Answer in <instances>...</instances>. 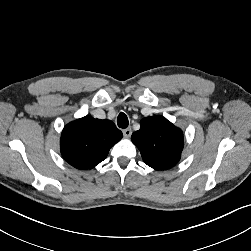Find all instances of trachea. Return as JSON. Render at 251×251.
Masks as SVG:
<instances>
[{"instance_id":"obj_1","label":"trachea","mask_w":251,"mask_h":251,"mask_svg":"<svg viewBox=\"0 0 251 251\" xmlns=\"http://www.w3.org/2000/svg\"><path fill=\"white\" fill-rule=\"evenodd\" d=\"M118 127L125 129L128 127L129 121L125 113L121 112L117 117Z\"/></svg>"}]
</instances>
